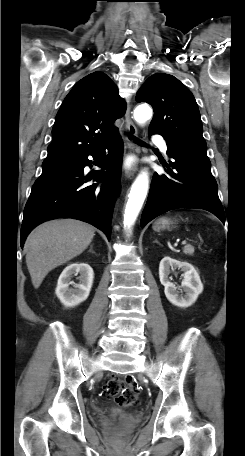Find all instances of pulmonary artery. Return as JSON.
<instances>
[{
  "label": "pulmonary artery",
  "instance_id": "pulmonary-artery-1",
  "mask_svg": "<svg viewBox=\"0 0 245 456\" xmlns=\"http://www.w3.org/2000/svg\"><path fill=\"white\" fill-rule=\"evenodd\" d=\"M153 140L159 145L160 149L166 153L167 152V144L166 142L163 140V138L161 136H158V135H155L153 137Z\"/></svg>",
  "mask_w": 245,
  "mask_h": 456
}]
</instances>
